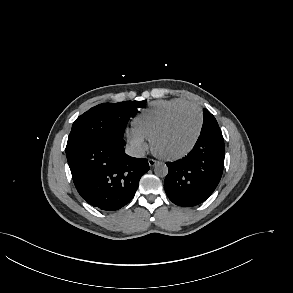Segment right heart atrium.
<instances>
[{"mask_svg":"<svg viewBox=\"0 0 293 293\" xmlns=\"http://www.w3.org/2000/svg\"><path fill=\"white\" fill-rule=\"evenodd\" d=\"M127 141L132 151L138 155L145 153L149 147L147 139L137 134L133 130L127 133Z\"/></svg>","mask_w":293,"mask_h":293,"instance_id":"obj_1","label":"right heart atrium"}]
</instances>
